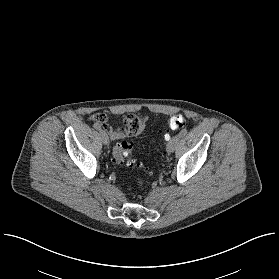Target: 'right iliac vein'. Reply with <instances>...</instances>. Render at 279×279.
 Listing matches in <instances>:
<instances>
[{"instance_id": "right-iliac-vein-1", "label": "right iliac vein", "mask_w": 279, "mask_h": 279, "mask_svg": "<svg viewBox=\"0 0 279 279\" xmlns=\"http://www.w3.org/2000/svg\"><path fill=\"white\" fill-rule=\"evenodd\" d=\"M100 133H101V138H102L103 144L108 145L109 137H108L107 133L105 131H101Z\"/></svg>"}]
</instances>
